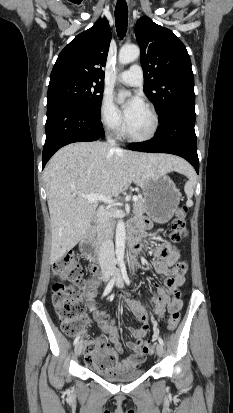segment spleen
Returning a JSON list of instances; mask_svg holds the SVG:
<instances>
[{
  "instance_id": "3e777b00",
  "label": "spleen",
  "mask_w": 233,
  "mask_h": 413,
  "mask_svg": "<svg viewBox=\"0 0 233 413\" xmlns=\"http://www.w3.org/2000/svg\"><path fill=\"white\" fill-rule=\"evenodd\" d=\"M186 174L189 176V180L186 182L184 186V191L187 195V198H192L194 194L195 177L193 172L191 171H186Z\"/></svg>"
}]
</instances>
